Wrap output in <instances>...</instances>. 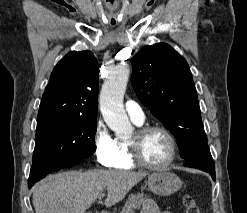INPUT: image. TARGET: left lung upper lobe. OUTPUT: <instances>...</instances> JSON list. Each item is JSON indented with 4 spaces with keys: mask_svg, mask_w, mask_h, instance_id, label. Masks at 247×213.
<instances>
[{
    "mask_svg": "<svg viewBox=\"0 0 247 213\" xmlns=\"http://www.w3.org/2000/svg\"><path fill=\"white\" fill-rule=\"evenodd\" d=\"M132 85L143 105L176 137L187 159L207 143L190 68L170 45L144 46L132 59Z\"/></svg>",
    "mask_w": 247,
    "mask_h": 213,
    "instance_id": "5c2ea615",
    "label": "left lung upper lobe"
}]
</instances>
